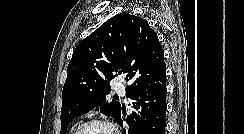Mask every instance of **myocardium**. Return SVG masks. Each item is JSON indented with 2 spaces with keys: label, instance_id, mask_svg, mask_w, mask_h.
Instances as JSON below:
<instances>
[{
  "label": "myocardium",
  "instance_id": "f54148a6",
  "mask_svg": "<svg viewBox=\"0 0 244 134\" xmlns=\"http://www.w3.org/2000/svg\"><path fill=\"white\" fill-rule=\"evenodd\" d=\"M93 125H98V126H102L105 127L106 129H108L110 131L111 134H118L117 129L113 126V124H111L110 122H108L107 120L104 119H90L87 120L83 123H81L74 131L72 134H80V132L82 130H84L85 128L89 127V126H93Z\"/></svg>",
  "mask_w": 244,
  "mask_h": 134
}]
</instances>
